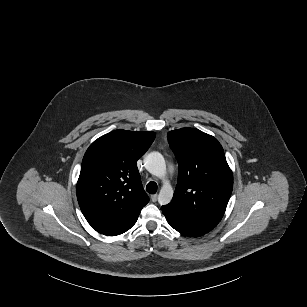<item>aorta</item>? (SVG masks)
Segmentation results:
<instances>
[{
  "instance_id": "obj_1",
  "label": "aorta",
  "mask_w": 307,
  "mask_h": 307,
  "mask_svg": "<svg viewBox=\"0 0 307 307\" xmlns=\"http://www.w3.org/2000/svg\"><path fill=\"white\" fill-rule=\"evenodd\" d=\"M145 169L154 176L163 179V186L158 195L160 205L170 203L173 197V188L166 176V163L163 155L159 152H151L144 158Z\"/></svg>"
}]
</instances>
